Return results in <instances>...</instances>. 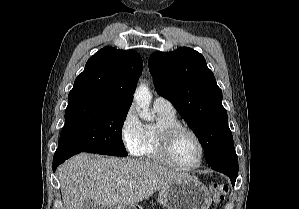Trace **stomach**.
I'll return each mask as SVG.
<instances>
[{
	"label": "stomach",
	"instance_id": "0dacf381",
	"mask_svg": "<svg viewBox=\"0 0 299 209\" xmlns=\"http://www.w3.org/2000/svg\"><path fill=\"white\" fill-rule=\"evenodd\" d=\"M158 202L167 209H209L208 188L193 176L173 182L159 190ZM109 209H135L132 205Z\"/></svg>",
	"mask_w": 299,
	"mask_h": 209
}]
</instances>
